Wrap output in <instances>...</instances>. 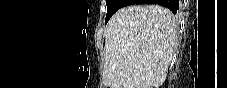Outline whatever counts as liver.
<instances>
[{
	"mask_svg": "<svg viewBox=\"0 0 227 88\" xmlns=\"http://www.w3.org/2000/svg\"><path fill=\"white\" fill-rule=\"evenodd\" d=\"M173 13L160 5L118 10L105 30L103 82L110 88H159L177 40Z\"/></svg>",
	"mask_w": 227,
	"mask_h": 88,
	"instance_id": "liver-1",
	"label": "liver"
}]
</instances>
